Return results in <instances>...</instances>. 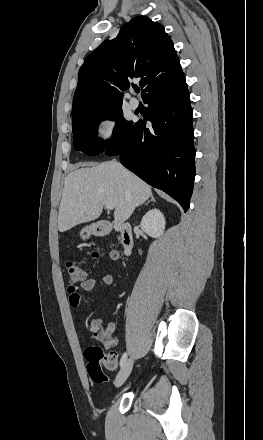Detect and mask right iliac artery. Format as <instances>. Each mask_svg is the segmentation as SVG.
<instances>
[{
	"label": "right iliac artery",
	"mask_w": 263,
	"mask_h": 440,
	"mask_svg": "<svg viewBox=\"0 0 263 440\" xmlns=\"http://www.w3.org/2000/svg\"><path fill=\"white\" fill-rule=\"evenodd\" d=\"M126 360H127V353H124L120 360V366H123Z\"/></svg>",
	"instance_id": "obj_1"
}]
</instances>
